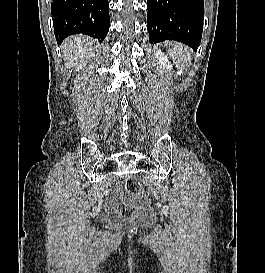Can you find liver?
I'll list each match as a JSON object with an SVG mask.
<instances>
[{"label":"liver","mask_w":265,"mask_h":273,"mask_svg":"<svg viewBox=\"0 0 265 273\" xmlns=\"http://www.w3.org/2000/svg\"><path fill=\"white\" fill-rule=\"evenodd\" d=\"M94 43L92 38L83 35L67 38L62 45L65 65L81 69L83 64L94 58Z\"/></svg>","instance_id":"obj_1"}]
</instances>
